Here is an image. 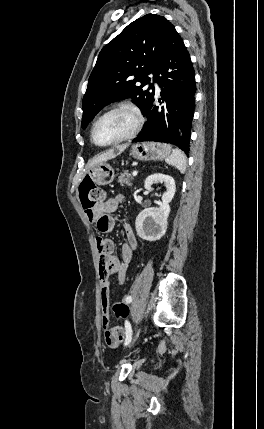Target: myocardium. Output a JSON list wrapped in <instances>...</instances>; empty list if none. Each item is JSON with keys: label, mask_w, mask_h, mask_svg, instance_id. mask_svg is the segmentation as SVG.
I'll return each instance as SVG.
<instances>
[{"label": "myocardium", "mask_w": 264, "mask_h": 429, "mask_svg": "<svg viewBox=\"0 0 264 429\" xmlns=\"http://www.w3.org/2000/svg\"><path fill=\"white\" fill-rule=\"evenodd\" d=\"M117 112H124L127 113L129 115H131L134 119V126L132 128V130L125 136L114 140L112 142L106 143V144H101L99 142H97V140L95 139V130L96 127L98 125V123L105 118L106 116L113 114V113H117ZM143 126V117L141 115V113L139 112V110L130 104H119L116 105L110 109H108L107 111H105L104 113H102L93 123L92 126V130H91V139L93 141V143L99 147H108V146H112V145H116L128 140L133 139L134 137H136L138 135V133L140 132L141 128Z\"/></svg>", "instance_id": "myocardium-1"}]
</instances>
